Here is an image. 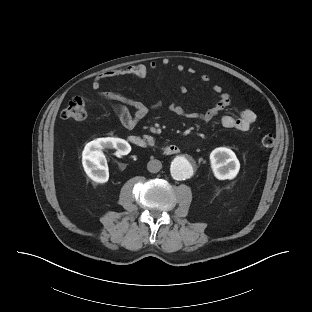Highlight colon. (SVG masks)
<instances>
[{"label": "colon", "mask_w": 312, "mask_h": 312, "mask_svg": "<svg viewBox=\"0 0 312 312\" xmlns=\"http://www.w3.org/2000/svg\"><path fill=\"white\" fill-rule=\"evenodd\" d=\"M61 117L66 120L82 121L87 117L86 102L82 97H73L61 112ZM274 145V137L271 134L264 135L259 142L261 149H269Z\"/></svg>", "instance_id": "5ec220e1"}]
</instances>
